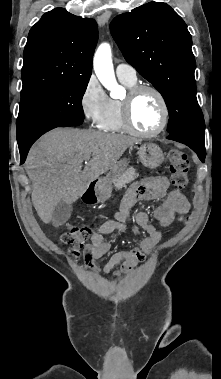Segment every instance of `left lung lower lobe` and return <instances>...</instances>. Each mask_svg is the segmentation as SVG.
Wrapping results in <instances>:
<instances>
[{
  "instance_id": "0a47b994",
  "label": "left lung lower lobe",
  "mask_w": 221,
  "mask_h": 379,
  "mask_svg": "<svg viewBox=\"0 0 221 379\" xmlns=\"http://www.w3.org/2000/svg\"><path fill=\"white\" fill-rule=\"evenodd\" d=\"M167 139H171L189 146L192 150H194L197 153L200 160L204 162L206 156L205 141H200L193 137L185 135H169Z\"/></svg>"
}]
</instances>
